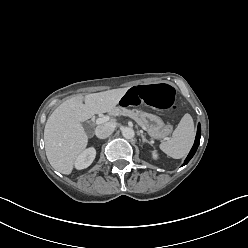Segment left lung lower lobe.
I'll return each instance as SVG.
<instances>
[{
	"label": "left lung lower lobe",
	"instance_id": "1",
	"mask_svg": "<svg viewBox=\"0 0 248 248\" xmlns=\"http://www.w3.org/2000/svg\"><path fill=\"white\" fill-rule=\"evenodd\" d=\"M200 136H201V126L200 124L198 125V129H197V134H196V138H195V142H194V145L189 153V155L187 156V158L185 159L184 161V164L183 165H186L190 160L191 158L194 156L197 148H198V145L200 143Z\"/></svg>",
	"mask_w": 248,
	"mask_h": 248
}]
</instances>
